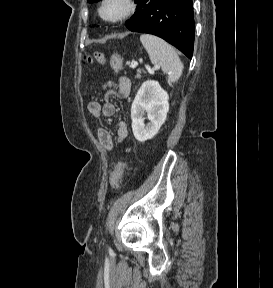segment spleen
I'll return each mask as SVG.
<instances>
[{"mask_svg":"<svg viewBox=\"0 0 273 288\" xmlns=\"http://www.w3.org/2000/svg\"><path fill=\"white\" fill-rule=\"evenodd\" d=\"M140 41L148 52L153 64L161 66L163 72L168 74L167 82L172 85L182 75L183 65L175 49L163 39L142 34Z\"/></svg>","mask_w":273,"mask_h":288,"instance_id":"spleen-1","label":"spleen"}]
</instances>
